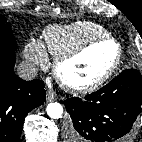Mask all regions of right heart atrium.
<instances>
[{
    "label": "right heart atrium",
    "mask_w": 142,
    "mask_h": 142,
    "mask_svg": "<svg viewBox=\"0 0 142 142\" xmlns=\"http://www.w3.org/2000/svg\"><path fill=\"white\" fill-rule=\"evenodd\" d=\"M25 59L34 66L44 67L48 64V55L42 43L30 40L24 48Z\"/></svg>",
    "instance_id": "obj_1"
}]
</instances>
